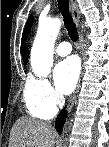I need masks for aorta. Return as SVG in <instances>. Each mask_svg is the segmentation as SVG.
Wrapping results in <instances>:
<instances>
[{
	"mask_svg": "<svg viewBox=\"0 0 109 147\" xmlns=\"http://www.w3.org/2000/svg\"><path fill=\"white\" fill-rule=\"evenodd\" d=\"M60 28L61 20L59 18L39 22L30 57L32 70L38 77H47L51 72L54 43Z\"/></svg>",
	"mask_w": 109,
	"mask_h": 147,
	"instance_id": "762f6f07",
	"label": "aorta"
}]
</instances>
